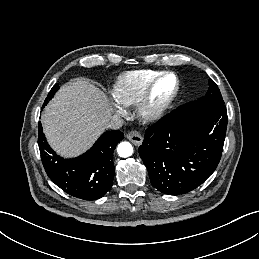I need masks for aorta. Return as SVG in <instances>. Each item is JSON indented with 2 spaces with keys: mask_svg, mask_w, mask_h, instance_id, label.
Returning <instances> with one entry per match:
<instances>
[{
  "mask_svg": "<svg viewBox=\"0 0 259 259\" xmlns=\"http://www.w3.org/2000/svg\"><path fill=\"white\" fill-rule=\"evenodd\" d=\"M117 153L120 157H129L133 153V147L129 142H121L117 147Z\"/></svg>",
  "mask_w": 259,
  "mask_h": 259,
  "instance_id": "obj_1",
  "label": "aorta"
}]
</instances>
